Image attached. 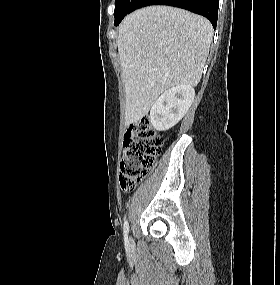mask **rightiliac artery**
<instances>
[{"label":"right iliac artery","mask_w":280,"mask_h":285,"mask_svg":"<svg viewBox=\"0 0 280 285\" xmlns=\"http://www.w3.org/2000/svg\"><path fill=\"white\" fill-rule=\"evenodd\" d=\"M123 231H124L125 239L127 241V237H128V233H129V226H128L127 220H125V222H124Z\"/></svg>","instance_id":"right-iliac-artery-1"}]
</instances>
